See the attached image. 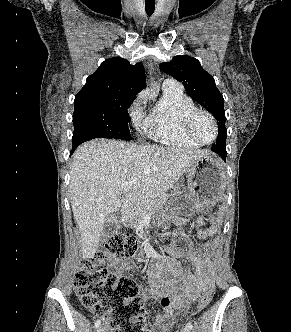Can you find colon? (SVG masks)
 <instances>
[{"instance_id": "5ec220e1", "label": "colon", "mask_w": 291, "mask_h": 332, "mask_svg": "<svg viewBox=\"0 0 291 332\" xmlns=\"http://www.w3.org/2000/svg\"><path fill=\"white\" fill-rule=\"evenodd\" d=\"M213 223H220L218 215H214ZM212 234L209 227L204 236ZM138 249L136 236L122 232L110 234L105 238L102 250L93 260L81 261L75 274L74 287L80 301L92 313L103 317L108 332H150L137 283L105 267L107 261L132 257ZM211 298V290L202 293L197 309L205 308Z\"/></svg>"}]
</instances>
